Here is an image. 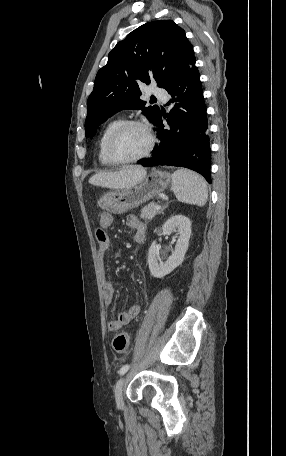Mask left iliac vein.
Returning <instances> with one entry per match:
<instances>
[{"instance_id":"obj_1","label":"left iliac vein","mask_w":286,"mask_h":456,"mask_svg":"<svg viewBox=\"0 0 286 456\" xmlns=\"http://www.w3.org/2000/svg\"><path fill=\"white\" fill-rule=\"evenodd\" d=\"M124 383H125V378L122 377L117 381L116 386H115L114 394H115V401H116V404L118 407L123 406L122 391H123Z\"/></svg>"}]
</instances>
